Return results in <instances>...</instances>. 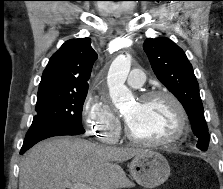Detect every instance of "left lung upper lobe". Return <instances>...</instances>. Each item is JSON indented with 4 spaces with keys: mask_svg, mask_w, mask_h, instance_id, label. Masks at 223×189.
Wrapping results in <instances>:
<instances>
[{
    "mask_svg": "<svg viewBox=\"0 0 223 189\" xmlns=\"http://www.w3.org/2000/svg\"><path fill=\"white\" fill-rule=\"evenodd\" d=\"M143 49L157 78L175 95L186 110L197 148L206 151L209 144L208 127L199 94V85L183 50L168 38H148Z\"/></svg>",
    "mask_w": 223,
    "mask_h": 189,
    "instance_id": "left-lung-upper-lobe-1",
    "label": "left lung upper lobe"
}]
</instances>
